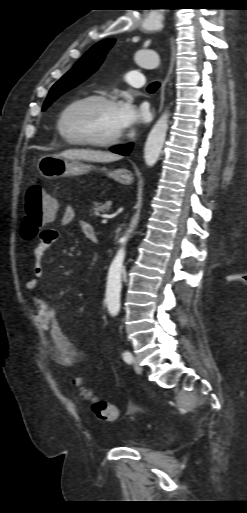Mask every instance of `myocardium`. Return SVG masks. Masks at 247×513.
Returning a JSON list of instances; mask_svg holds the SVG:
<instances>
[{"instance_id":"f54148a6","label":"myocardium","mask_w":247,"mask_h":513,"mask_svg":"<svg viewBox=\"0 0 247 513\" xmlns=\"http://www.w3.org/2000/svg\"><path fill=\"white\" fill-rule=\"evenodd\" d=\"M91 101H97V102L113 104V105L116 104L115 100L112 97L104 95V94H88L85 96H81V97L69 102L68 104H66L59 112L57 121H56V128H57L58 132L66 141H68L71 144L94 146V147H109V146L119 143L123 137L122 132H120L117 135L112 136L110 138L101 139V140L72 137L65 132V130L63 128V122H64V119H65L68 111L73 106H75L77 104L84 103V102H91Z\"/></svg>"}]
</instances>
